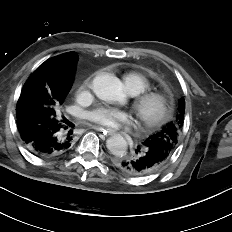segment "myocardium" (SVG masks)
Masks as SVG:
<instances>
[{
    "instance_id": "f54148a6",
    "label": "myocardium",
    "mask_w": 232,
    "mask_h": 232,
    "mask_svg": "<svg viewBox=\"0 0 232 232\" xmlns=\"http://www.w3.org/2000/svg\"><path fill=\"white\" fill-rule=\"evenodd\" d=\"M151 105H155L156 108L153 112H148ZM132 109L139 124L145 129H152L167 119L170 109V97L162 91H145L134 99Z\"/></svg>"
}]
</instances>
